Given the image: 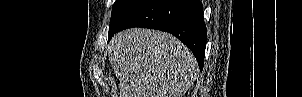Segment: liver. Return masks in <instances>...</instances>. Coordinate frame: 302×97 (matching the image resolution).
<instances>
[{
  "instance_id": "1",
  "label": "liver",
  "mask_w": 302,
  "mask_h": 97,
  "mask_svg": "<svg viewBox=\"0 0 302 97\" xmlns=\"http://www.w3.org/2000/svg\"><path fill=\"white\" fill-rule=\"evenodd\" d=\"M109 60L120 80L119 97H183L198 65L174 36L151 29H127L109 45Z\"/></svg>"
}]
</instances>
